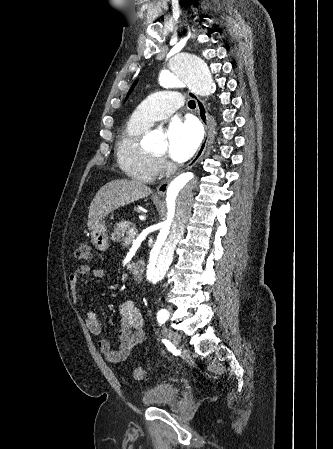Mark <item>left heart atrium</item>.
<instances>
[{
  "label": "left heart atrium",
  "mask_w": 333,
  "mask_h": 449,
  "mask_svg": "<svg viewBox=\"0 0 333 449\" xmlns=\"http://www.w3.org/2000/svg\"><path fill=\"white\" fill-rule=\"evenodd\" d=\"M168 154L177 162L189 159L201 141L199 126L190 119L173 120L167 130Z\"/></svg>",
  "instance_id": "39dd6f15"
}]
</instances>
